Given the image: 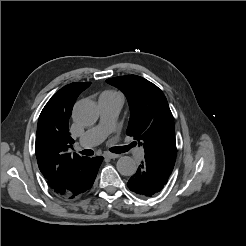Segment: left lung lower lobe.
Masks as SVG:
<instances>
[{
	"label": "left lung lower lobe",
	"instance_id": "left-lung-lower-lobe-1",
	"mask_svg": "<svg viewBox=\"0 0 246 246\" xmlns=\"http://www.w3.org/2000/svg\"><path fill=\"white\" fill-rule=\"evenodd\" d=\"M171 172L172 170L152 158L145 157L137 173L129 179L127 186L139 197H151L163 189Z\"/></svg>",
	"mask_w": 246,
	"mask_h": 246
}]
</instances>
